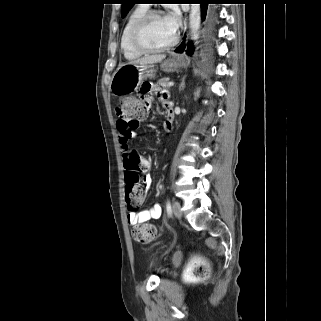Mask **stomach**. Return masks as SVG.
I'll use <instances>...</instances> for the list:
<instances>
[{
  "label": "stomach",
  "instance_id": "stomach-1",
  "mask_svg": "<svg viewBox=\"0 0 321 321\" xmlns=\"http://www.w3.org/2000/svg\"><path fill=\"white\" fill-rule=\"evenodd\" d=\"M183 66H185L184 60L177 55L169 57L161 64V68L167 73L175 72ZM154 72L151 65H122L113 74L110 90L118 96L131 93L138 88L144 79L153 77Z\"/></svg>",
  "mask_w": 321,
  "mask_h": 321
}]
</instances>
